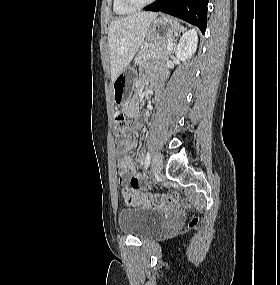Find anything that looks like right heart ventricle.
Segmentation results:
<instances>
[{
    "label": "right heart ventricle",
    "mask_w": 280,
    "mask_h": 285,
    "mask_svg": "<svg viewBox=\"0 0 280 285\" xmlns=\"http://www.w3.org/2000/svg\"><path fill=\"white\" fill-rule=\"evenodd\" d=\"M113 11L118 15H128L135 10L126 7L121 0H113Z\"/></svg>",
    "instance_id": "right-heart-ventricle-1"
}]
</instances>
